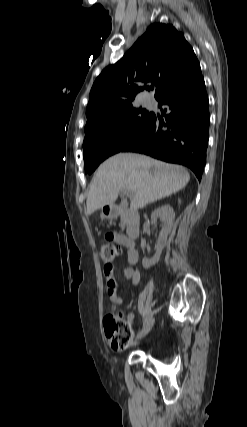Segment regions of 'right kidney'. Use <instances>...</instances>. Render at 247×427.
Wrapping results in <instances>:
<instances>
[{"label":"right kidney","instance_id":"ca27d5eb","mask_svg":"<svg viewBox=\"0 0 247 427\" xmlns=\"http://www.w3.org/2000/svg\"><path fill=\"white\" fill-rule=\"evenodd\" d=\"M158 218H160V220L162 222V229H161L158 241H157L156 253L150 259L149 258L143 259L142 264H143V267L145 269H148L151 266L158 263L160 256H161V253H162V250L167 243V237H168V235L171 232V229L173 227V222L175 219V212L170 205H163V206L157 208L156 210H154V212H152V214H151L152 220L155 221Z\"/></svg>","mask_w":247,"mask_h":427}]
</instances>
